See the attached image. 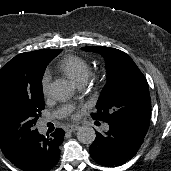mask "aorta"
<instances>
[{"label":"aorta","instance_id":"762f6f07","mask_svg":"<svg viewBox=\"0 0 171 171\" xmlns=\"http://www.w3.org/2000/svg\"><path fill=\"white\" fill-rule=\"evenodd\" d=\"M73 92L74 85L66 79L55 80L50 86V93L56 100H66ZM95 138V130L90 126H82L77 131V139L83 144H92Z\"/></svg>","mask_w":171,"mask_h":171}]
</instances>
